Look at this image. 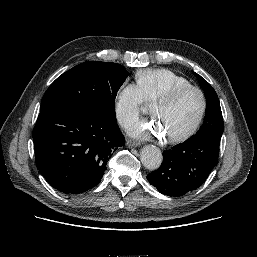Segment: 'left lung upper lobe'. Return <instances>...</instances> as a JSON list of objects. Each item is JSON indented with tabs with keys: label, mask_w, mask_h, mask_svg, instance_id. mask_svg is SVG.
Wrapping results in <instances>:
<instances>
[{
	"label": "left lung upper lobe",
	"mask_w": 257,
	"mask_h": 257,
	"mask_svg": "<svg viewBox=\"0 0 257 257\" xmlns=\"http://www.w3.org/2000/svg\"><path fill=\"white\" fill-rule=\"evenodd\" d=\"M193 74L197 77L199 84L204 90L207 106L202 127L196 135L191 136L189 139L197 140L209 137L220 140L224 131V124L218 96L212 86L204 78L194 71Z\"/></svg>",
	"instance_id": "5c2ea615"
}]
</instances>
